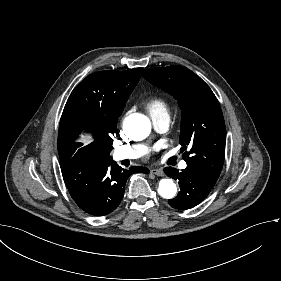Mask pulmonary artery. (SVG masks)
Returning <instances> with one entry per match:
<instances>
[{
	"label": "pulmonary artery",
	"instance_id": "e3ab8cb5",
	"mask_svg": "<svg viewBox=\"0 0 281 281\" xmlns=\"http://www.w3.org/2000/svg\"><path fill=\"white\" fill-rule=\"evenodd\" d=\"M168 122H169V116L163 112H156L151 117V124L156 129L164 130L167 127ZM143 152H144V147L141 145L121 146V147H116L113 150V158L116 161L123 160V159H134L136 157H139ZM180 168L186 169L187 163L185 161H182L180 163Z\"/></svg>",
	"mask_w": 281,
	"mask_h": 281
}]
</instances>
